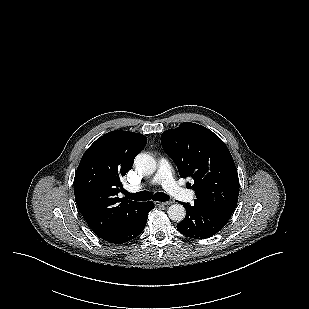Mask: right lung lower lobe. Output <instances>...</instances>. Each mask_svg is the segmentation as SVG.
Wrapping results in <instances>:
<instances>
[{
    "label": "right lung lower lobe",
    "instance_id": "1",
    "mask_svg": "<svg viewBox=\"0 0 309 309\" xmlns=\"http://www.w3.org/2000/svg\"><path fill=\"white\" fill-rule=\"evenodd\" d=\"M154 208L153 202H143L139 208L113 233L101 237L112 244L126 243L136 238L145 228L148 213Z\"/></svg>",
    "mask_w": 309,
    "mask_h": 309
}]
</instances>
